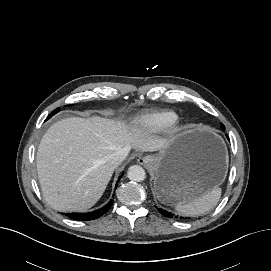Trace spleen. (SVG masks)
I'll return each instance as SVG.
<instances>
[{"mask_svg": "<svg viewBox=\"0 0 271 271\" xmlns=\"http://www.w3.org/2000/svg\"><path fill=\"white\" fill-rule=\"evenodd\" d=\"M221 188L215 186L211 191L189 201H181L176 205V210L185 216L202 215L213 209L221 197Z\"/></svg>", "mask_w": 271, "mask_h": 271, "instance_id": "1", "label": "spleen"}]
</instances>
